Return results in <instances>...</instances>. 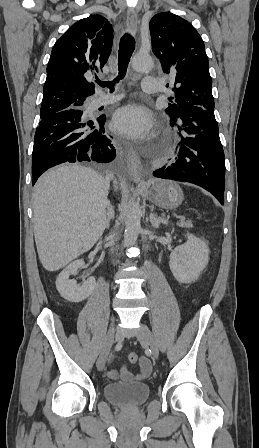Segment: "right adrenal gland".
Segmentation results:
<instances>
[{"mask_svg": "<svg viewBox=\"0 0 259 448\" xmlns=\"http://www.w3.org/2000/svg\"><path fill=\"white\" fill-rule=\"evenodd\" d=\"M114 210H113V206H111L109 200L107 202V222H106V230H108L109 226H110V222L111 220H114Z\"/></svg>", "mask_w": 259, "mask_h": 448, "instance_id": "1", "label": "right adrenal gland"}]
</instances>
